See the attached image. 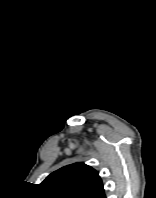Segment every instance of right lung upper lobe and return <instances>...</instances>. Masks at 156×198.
I'll return each instance as SVG.
<instances>
[{"label": "right lung upper lobe", "instance_id": "right-lung-upper-lobe-1", "mask_svg": "<svg viewBox=\"0 0 156 198\" xmlns=\"http://www.w3.org/2000/svg\"><path fill=\"white\" fill-rule=\"evenodd\" d=\"M39 186L50 198H106L98 173L84 163L51 173Z\"/></svg>", "mask_w": 156, "mask_h": 198}]
</instances>
